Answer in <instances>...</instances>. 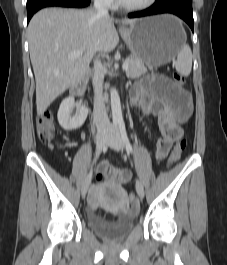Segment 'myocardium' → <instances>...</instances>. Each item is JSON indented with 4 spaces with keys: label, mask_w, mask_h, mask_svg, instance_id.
<instances>
[{
    "label": "myocardium",
    "mask_w": 227,
    "mask_h": 265,
    "mask_svg": "<svg viewBox=\"0 0 227 265\" xmlns=\"http://www.w3.org/2000/svg\"><path fill=\"white\" fill-rule=\"evenodd\" d=\"M117 2H118V5L122 9L127 10V11L137 12V11L148 9L156 2V0H147L144 3L139 4V5H128L124 3L122 0H117Z\"/></svg>",
    "instance_id": "myocardium-1"
}]
</instances>
